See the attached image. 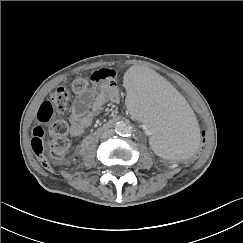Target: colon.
Instances as JSON below:
<instances>
[{
	"label": "colon",
	"instance_id": "colon-1",
	"mask_svg": "<svg viewBox=\"0 0 243 243\" xmlns=\"http://www.w3.org/2000/svg\"><path fill=\"white\" fill-rule=\"evenodd\" d=\"M114 79V74L107 68L97 70L91 75L92 82L98 84H109ZM89 82L83 77L75 78L71 83V88L76 93H83L87 90ZM70 101V92L66 88L57 89L49 100L42 103L38 112V120L49 122L56 110H63ZM51 139L48 142V148L51 157L55 159L62 158L70 147L69 139L67 138L68 125L64 121H54L50 125ZM210 130L207 127L202 128L200 143L190 156L179 158L175 165H190L192 162L199 160L207 150L209 145ZM31 147L41 165L47 169H52L51 160L46 155L45 132L42 126L34 127L32 131ZM162 163L172 164V161L162 160Z\"/></svg>",
	"mask_w": 243,
	"mask_h": 243
}]
</instances>
